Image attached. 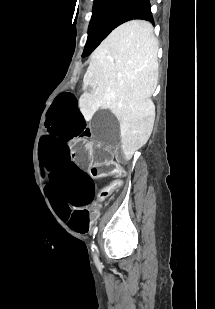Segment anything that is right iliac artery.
Instances as JSON below:
<instances>
[{"mask_svg": "<svg viewBox=\"0 0 215 309\" xmlns=\"http://www.w3.org/2000/svg\"><path fill=\"white\" fill-rule=\"evenodd\" d=\"M97 230H98V228L95 227L94 230H93V238H95V234L97 233ZM94 248H96V246L94 244H92V251H94Z\"/></svg>", "mask_w": 215, "mask_h": 309, "instance_id": "obj_1", "label": "right iliac artery"}]
</instances>
